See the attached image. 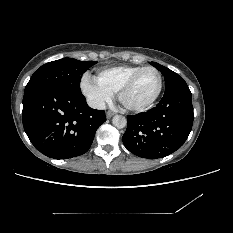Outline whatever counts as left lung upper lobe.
Wrapping results in <instances>:
<instances>
[{
    "label": "left lung upper lobe",
    "mask_w": 233,
    "mask_h": 233,
    "mask_svg": "<svg viewBox=\"0 0 233 233\" xmlns=\"http://www.w3.org/2000/svg\"><path fill=\"white\" fill-rule=\"evenodd\" d=\"M151 64L163 74L165 79V92L171 90L172 88L178 85L186 84L183 78L179 76L177 73L173 72L172 70L156 62H151Z\"/></svg>",
    "instance_id": "5c2ea615"
}]
</instances>
